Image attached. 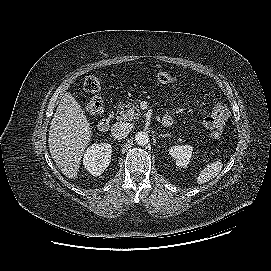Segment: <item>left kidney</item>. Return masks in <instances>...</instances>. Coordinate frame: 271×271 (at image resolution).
Masks as SVG:
<instances>
[{
	"instance_id": "5707ae66",
	"label": "left kidney",
	"mask_w": 271,
	"mask_h": 271,
	"mask_svg": "<svg viewBox=\"0 0 271 271\" xmlns=\"http://www.w3.org/2000/svg\"><path fill=\"white\" fill-rule=\"evenodd\" d=\"M193 147L191 145H177L169 149V154L176 160L179 167H187L192 156Z\"/></svg>"
}]
</instances>
